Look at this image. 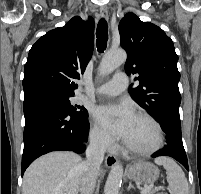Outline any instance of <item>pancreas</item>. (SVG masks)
Returning <instances> with one entry per match:
<instances>
[{
    "label": "pancreas",
    "mask_w": 201,
    "mask_h": 194,
    "mask_svg": "<svg viewBox=\"0 0 201 194\" xmlns=\"http://www.w3.org/2000/svg\"><path fill=\"white\" fill-rule=\"evenodd\" d=\"M156 190H157V189L150 190V191L147 192V194H155V191H156Z\"/></svg>",
    "instance_id": "obj_1"
}]
</instances>
